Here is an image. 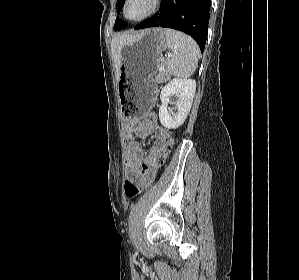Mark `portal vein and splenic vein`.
<instances>
[{"label": "portal vein and splenic vein", "mask_w": 299, "mask_h": 280, "mask_svg": "<svg viewBox=\"0 0 299 280\" xmlns=\"http://www.w3.org/2000/svg\"><path fill=\"white\" fill-rule=\"evenodd\" d=\"M164 70H165L164 65H161V66L159 67V71H160V72H163Z\"/></svg>", "instance_id": "obj_1"}]
</instances>
